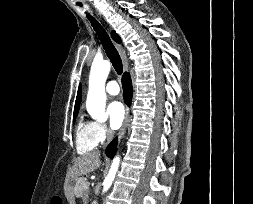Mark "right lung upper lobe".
I'll return each mask as SVG.
<instances>
[{"label":"right lung upper lobe","mask_w":253,"mask_h":204,"mask_svg":"<svg viewBox=\"0 0 253 204\" xmlns=\"http://www.w3.org/2000/svg\"><path fill=\"white\" fill-rule=\"evenodd\" d=\"M111 35H112V38L116 42L120 43V37L114 31H112ZM80 102H81V86L78 89L77 98L75 102V108H74V114H78Z\"/></svg>","instance_id":"cb5924a9"}]
</instances>
